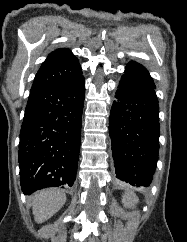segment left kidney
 <instances>
[{
    "label": "left kidney",
    "instance_id": "5707ae66",
    "mask_svg": "<svg viewBox=\"0 0 187 242\" xmlns=\"http://www.w3.org/2000/svg\"><path fill=\"white\" fill-rule=\"evenodd\" d=\"M138 202V197L132 192H125L122 197V203L126 207H134Z\"/></svg>",
    "mask_w": 187,
    "mask_h": 242
}]
</instances>
